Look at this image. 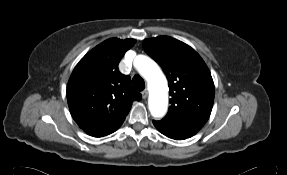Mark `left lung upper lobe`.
<instances>
[{
    "label": "left lung upper lobe",
    "instance_id": "1",
    "mask_svg": "<svg viewBox=\"0 0 287 175\" xmlns=\"http://www.w3.org/2000/svg\"><path fill=\"white\" fill-rule=\"evenodd\" d=\"M143 48L162 67L171 95L167 115L154 122L185 139L192 137L207 122L213 106L208 67L193 48L168 36L145 39Z\"/></svg>",
    "mask_w": 287,
    "mask_h": 175
}]
</instances>
